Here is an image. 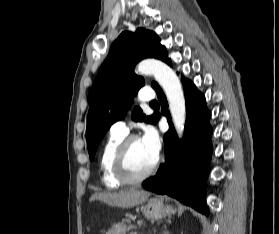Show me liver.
<instances>
[{
	"instance_id": "obj_1",
	"label": "liver",
	"mask_w": 279,
	"mask_h": 234,
	"mask_svg": "<svg viewBox=\"0 0 279 234\" xmlns=\"http://www.w3.org/2000/svg\"><path fill=\"white\" fill-rule=\"evenodd\" d=\"M150 193L139 190H128L122 192L95 193L90 197V201L99 200L109 206L130 208L143 203L148 199Z\"/></svg>"
}]
</instances>
